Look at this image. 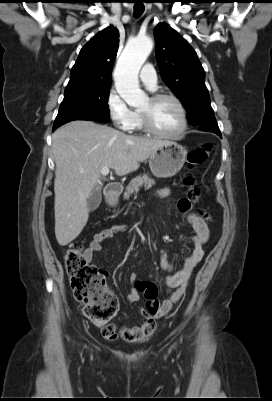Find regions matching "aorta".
Listing matches in <instances>:
<instances>
[{"label":"aorta","instance_id":"1","mask_svg":"<svg viewBox=\"0 0 272 401\" xmlns=\"http://www.w3.org/2000/svg\"><path fill=\"white\" fill-rule=\"evenodd\" d=\"M153 49L150 37H138L123 50L114 70L115 87L122 99L132 107L141 105L147 95L139 87V70Z\"/></svg>","mask_w":272,"mask_h":401}]
</instances>
